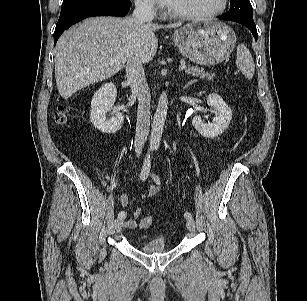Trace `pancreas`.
I'll return each instance as SVG.
<instances>
[{
  "label": "pancreas",
  "mask_w": 307,
  "mask_h": 301,
  "mask_svg": "<svg viewBox=\"0 0 307 301\" xmlns=\"http://www.w3.org/2000/svg\"><path fill=\"white\" fill-rule=\"evenodd\" d=\"M186 73L191 74L196 77H200L202 79H208V80H213L215 76L214 73L205 72L202 68L198 66H192V67L188 66Z\"/></svg>",
  "instance_id": "pancreas-1"
}]
</instances>
